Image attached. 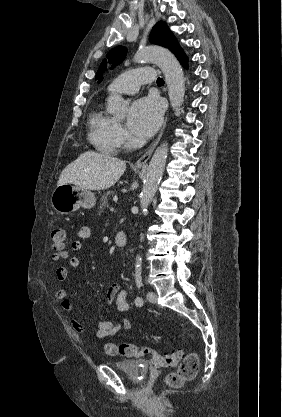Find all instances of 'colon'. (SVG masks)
I'll use <instances>...</instances> for the list:
<instances>
[{"label":"colon","mask_w":282,"mask_h":417,"mask_svg":"<svg viewBox=\"0 0 282 417\" xmlns=\"http://www.w3.org/2000/svg\"><path fill=\"white\" fill-rule=\"evenodd\" d=\"M66 239L64 228L55 227L52 230L50 234V242L57 259L64 257ZM182 353V350L178 348L175 352L161 354L151 346L133 343L125 344L124 347H117L115 345L114 347H106L105 349L106 356H126L134 358L148 356L158 368H175L177 370L176 372L170 373L166 376V384H158L156 386V390L153 391L155 402L161 401L160 393H166L168 391V387H181L184 381L194 378L198 373L200 358L196 352L188 353V358L184 359L182 362L183 365H180L179 369L176 368V365L179 363V358L182 357Z\"/></svg>","instance_id":"5ec220e1"}]
</instances>
